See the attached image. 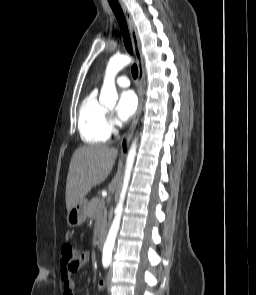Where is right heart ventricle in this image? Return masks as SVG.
Segmentation results:
<instances>
[{"instance_id": "e07e8e85", "label": "right heart ventricle", "mask_w": 256, "mask_h": 295, "mask_svg": "<svg viewBox=\"0 0 256 295\" xmlns=\"http://www.w3.org/2000/svg\"><path fill=\"white\" fill-rule=\"evenodd\" d=\"M78 129L82 140L88 144L103 143L110 137L107 108L98 100L96 89L92 90L81 103Z\"/></svg>"}]
</instances>
